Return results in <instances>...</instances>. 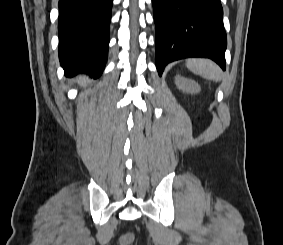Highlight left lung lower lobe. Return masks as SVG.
<instances>
[{"label":"left lung lower lobe","mask_w":283,"mask_h":245,"mask_svg":"<svg viewBox=\"0 0 283 245\" xmlns=\"http://www.w3.org/2000/svg\"><path fill=\"white\" fill-rule=\"evenodd\" d=\"M156 67L187 57H206L225 70L226 33L220 0H152Z\"/></svg>","instance_id":"left-lung-lower-lobe-1"}]
</instances>
